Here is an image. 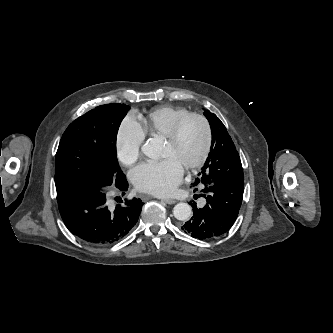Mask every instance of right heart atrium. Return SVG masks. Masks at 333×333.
I'll list each match as a JSON object with an SVG mask.
<instances>
[{
	"mask_svg": "<svg viewBox=\"0 0 333 333\" xmlns=\"http://www.w3.org/2000/svg\"><path fill=\"white\" fill-rule=\"evenodd\" d=\"M145 137L141 124L132 115L122 120L115 137V152L123 165L131 166L139 159Z\"/></svg>",
	"mask_w": 333,
	"mask_h": 333,
	"instance_id": "right-heart-atrium-1",
	"label": "right heart atrium"
}]
</instances>
